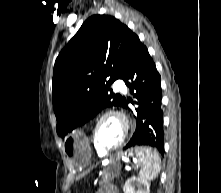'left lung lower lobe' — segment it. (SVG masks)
Listing matches in <instances>:
<instances>
[{
    "instance_id": "obj_1",
    "label": "left lung lower lobe",
    "mask_w": 221,
    "mask_h": 193,
    "mask_svg": "<svg viewBox=\"0 0 221 193\" xmlns=\"http://www.w3.org/2000/svg\"><path fill=\"white\" fill-rule=\"evenodd\" d=\"M122 79L125 80L134 98L138 100L135 103L139 104L136 108V130L124 149L147 145L156 148L164 155L161 77L146 46L142 43L133 53ZM129 102L133 103L127 99L125 108Z\"/></svg>"
}]
</instances>
